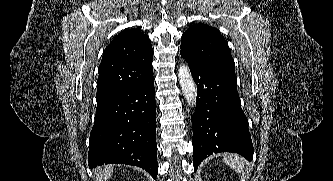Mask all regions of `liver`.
I'll use <instances>...</instances> for the list:
<instances>
[{"mask_svg":"<svg viewBox=\"0 0 333 181\" xmlns=\"http://www.w3.org/2000/svg\"><path fill=\"white\" fill-rule=\"evenodd\" d=\"M113 172L112 165H104L102 167H97L94 170V175L96 176V181H106L109 179Z\"/></svg>","mask_w":333,"mask_h":181,"instance_id":"liver-1","label":"liver"}]
</instances>
